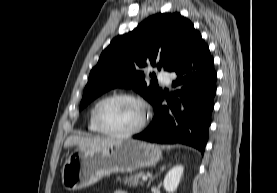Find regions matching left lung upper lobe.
<instances>
[{
	"label": "left lung upper lobe",
	"instance_id": "5c2ea615",
	"mask_svg": "<svg viewBox=\"0 0 277 193\" xmlns=\"http://www.w3.org/2000/svg\"><path fill=\"white\" fill-rule=\"evenodd\" d=\"M199 34L179 13H159L144 20L132 32L117 36L91 70L79 109L115 87L134 88L154 105L162 91L152 83L146 85L143 69L151 65L171 71Z\"/></svg>",
	"mask_w": 277,
	"mask_h": 193
}]
</instances>
